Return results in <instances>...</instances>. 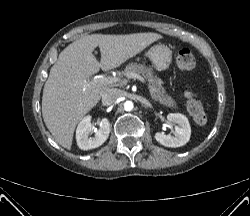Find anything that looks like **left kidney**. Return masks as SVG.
I'll return each instance as SVG.
<instances>
[{
	"label": "left kidney",
	"mask_w": 250,
	"mask_h": 216,
	"mask_svg": "<svg viewBox=\"0 0 250 216\" xmlns=\"http://www.w3.org/2000/svg\"><path fill=\"white\" fill-rule=\"evenodd\" d=\"M167 119L169 122L177 124L174 128L175 136L157 132L155 134L156 141L166 147L172 148L185 145L189 141L191 135V127L187 117L180 113H170L167 115Z\"/></svg>",
	"instance_id": "1"
}]
</instances>
